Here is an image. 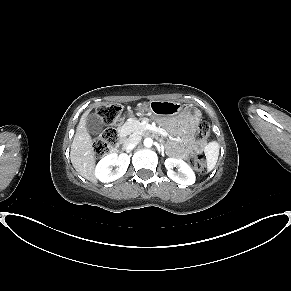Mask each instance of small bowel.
Here are the masks:
<instances>
[{"instance_id": "small-bowel-1", "label": "small bowel", "mask_w": 291, "mask_h": 291, "mask_svg": "<svg viewBox=\"0 0 291 291\" xmlns=\"http://www.w3.org/2000/svg\"><path fill=\"white\" fill-rule=\"evenodd\" d=\"M175 118L165 125L170 133L176 137V141L170 145V153L178 159H188L196 152L193 143V132L196 121L200 120L202 113L194 105H186L178 109Z\"/></svg>"}]
</instances>
